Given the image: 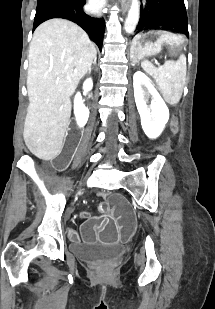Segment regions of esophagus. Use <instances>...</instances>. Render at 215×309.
<instances>
[{"instance_id":"34e87169","label":"esophagus","mask_w":215,"mask_h":309,"mask_svg":"<svg viewBox=\"0 0 215 309\" xmlns=\"http://www.w3.org/2000/svg\"><path fill=\"white\" fill-rule=\"evenodd\" d=\"M130 0H121V7L123 10L127 9L129 7Z\"/></svg>"}]
</instances>
